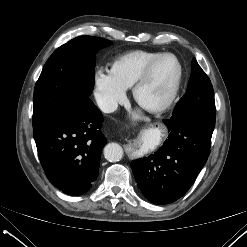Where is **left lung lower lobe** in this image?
<instances>
[{
  "instance_id": "left-lung-lower-lobe-1",
  "label": "left lung lower lobe",
  "mask_w": 247,
  "mask_h": 247,
  "mask_svg": "<svg viewBox=\"0 0 247 247\" xmlns=\"http://www.w3.org/2000/svg\"><path fill=\"white\" fill-rule=\"evenodd\" d=\"M169 136L147 158L131 162L136 182L144 196L155 204H168L192 186L210 154L215 116L199 109L164 120Z\"/></svg>"
}]
</instances>
